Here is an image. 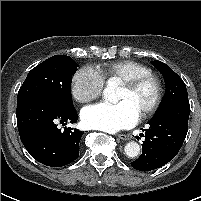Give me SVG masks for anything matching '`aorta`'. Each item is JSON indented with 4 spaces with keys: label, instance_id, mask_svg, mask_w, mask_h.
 <instances>
[{
    "label": "aorta",
    "instance_id": "obj_1",
    "mask_svg": "<svg viewBox=\"0 0 201 201\" xmlns=\"http://www.w3.org/2000/svg\"><path fill=\"white\" fill-rule=\"evenodd\" d=\"M103 96L105 100L109 102H115L117 100L115 86L108 84L103 91ZM124 151L129 158H135L140 153V146L137 142L131 141L125 145Z\"/></svg>",
    "mask_w": 201,
    "mask_h": 201
}]
</instances>
